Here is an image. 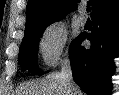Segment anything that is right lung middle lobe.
<instances>
[{
    "label": "right lung middle lobe",
    "instance_id": "dd1d6c3e",
    "mask_svg": "<svg viewBox=\"0 0 119 95\" xmlns=\"http://www.w3.org/2000/svg\"><path fill=\"white\" fill-rule=\"evenodd\" d=\"M50 24H44L25 33L19 49V62L23 70L28 69L36 75L43 74V71L38 68L37 64L39 38Z\"/></svg>",
    "mask_w": 119,
    "mask_h": 95
}]
</instances>
